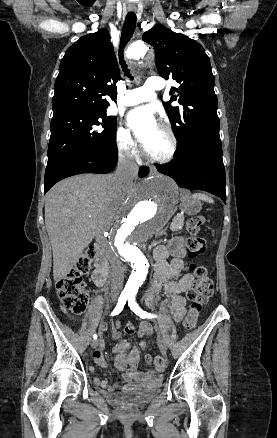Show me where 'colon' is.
Masks as SVG:
<instances>
[{
  "instance_id": "colon-1",
  "label": "colon",
  "mask_w": 277,
  "mask_h": 438,
  "mask_svg": "<svg viewBox=\"0 0 277 438\" xmlns=\"http://www.w3.org/2000/svg\"><path fill=\"white\" fill-rule=\"evenodd\" d=\"M204 223L205 220L202 217H193L187 221L186 229L192 234L187 240L188 257H200L207 250V240L203 236L198 235V232ZM97 254L98 251L95 248H85L84 250L85 257H89L91 260L94 259ZM89 259H80L77 266L66 276L59 279L55 286L56 293L61 299L64 309L72 317L83 314L88 303L89 296L84 288V281L82 280L81 275L89 271ZM191 273L194 275L195 280L188 290V298L191 304L183 321V328L186 331H189L194 327L203 305L208 302V299L214 290V282L209 277L205 267L195 265L191 268ZM155 365L157 369H163L165 365L163 357H156Z\"/></svg>"
}]
</instances>
